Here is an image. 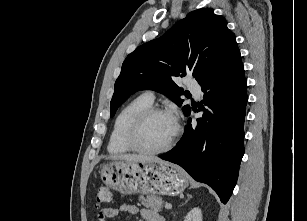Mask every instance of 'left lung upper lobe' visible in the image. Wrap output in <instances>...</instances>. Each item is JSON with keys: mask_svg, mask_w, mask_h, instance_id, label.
Segmentation results:
<instances>
[{"mask_svg": "<svg viewBox=\"0 0 307 221\" xmlns=\"http://www.w3.org/2000/svg\"><path fill=\"white\" fill-rule=\"evenodd\" d=\"M239 51L225 18L211 8L190 12L158 39L135 49L125 59L115 82L111 117L138 90H155L181 106L183 90L175 77L192 73L203 87L216 77ZM185 115L191 108L183 106Z\"/></svg>", "mask_w": 307, "mask_h": 221, "instance_id": "5c2ea615", "label": "left lung upper lobe"}]
</instances>
